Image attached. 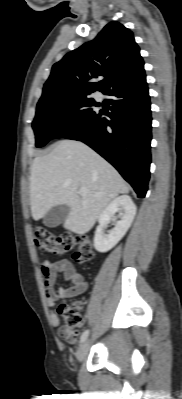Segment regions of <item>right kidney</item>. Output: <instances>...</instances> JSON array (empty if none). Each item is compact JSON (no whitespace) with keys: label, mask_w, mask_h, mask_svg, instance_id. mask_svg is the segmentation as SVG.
Returning <instances> with one entry per match:
<instances>
[{"label":"right kidney","mask_w":182,"mask_h":399,"mask_svg":"<svg viewBox=\"0 0 182 399\" xmlns=\"http://www.w3.org/2000/svg\"><path fill=\"white\" fill-rule=\"evenodd\" d=\"M116 212H121L120 221L105 234V228ZM136 214V206L128 195H121L112 200L98 217L99 225L94 236V247L98 252L111 250L126 234Z\"/></svg>","instance_id":"ca27d5eb"}]
</instances>
